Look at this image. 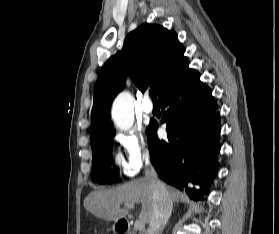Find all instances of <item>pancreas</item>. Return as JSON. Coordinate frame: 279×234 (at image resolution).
<instances>
[{"label": "pancreas", "instance_id": "obj_1", "mask_svg": "<svg viewBox=\"0 0 279 234\" xmlns=\"http://www.w3.org/2000/svg\"><path fill=\"white\" fill-rule=\"evenodd\" d=\"M129 234H135V232H131V233H129Z\"/></svg>", "mask_w": 279, "mask_h": 234}]
</instances>
